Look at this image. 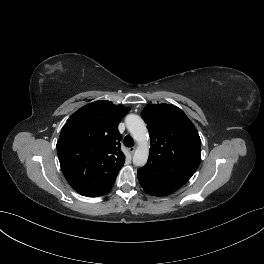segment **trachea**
Returning a JSON list of instances; mask_svg holds the SVG:
<instances>
[{"label":"trachea","instance_id":"obj_1","mask_svg":"<svg viewBox=\"0 0 264 264\" xmlns=\"http://www.w3.org/2000/svg\"><path fill=\"white\" fill-rule=\"evenodd\" d=\"M124 144H125L126 147H133L134 146V141H133L132 137L128 136V135L125 136Z\"/></svg>","mask_w":264,"mask_h":264}]
</instances>
